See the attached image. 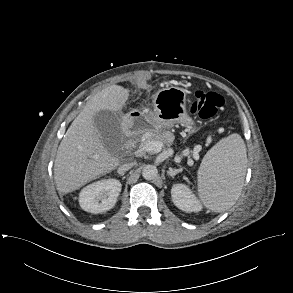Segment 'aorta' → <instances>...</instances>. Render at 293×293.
I'll return each mask as SVG.
<instances>
[{
    "label": "aorta",
    "mask_w": 293,
    "mask_h": 293,
    "mask_svg": "<svg viewBox=\"0 0 293 293\" xmlns=\"http://www.w3.org/2000/svg\"><path fill=\"white\" fill-rule=\"evenodd\" d=\"M158 170L154 165H146L142 170V176L145 180H153L157 177Z\"/></svg>",
    "instance_id": "1"
}]
</instances>
